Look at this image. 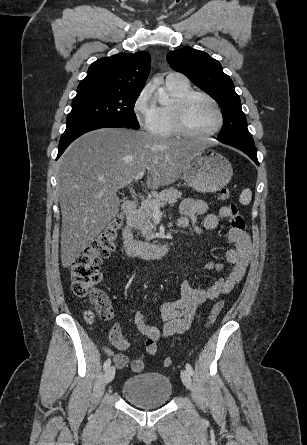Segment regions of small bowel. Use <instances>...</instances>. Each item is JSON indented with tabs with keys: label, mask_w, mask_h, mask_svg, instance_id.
<instances>
[{
	"label": "small bowel",
	"mask_w": 307,
	"mask_h": 445,
	"mask_svg": "<svg viewBox=\"0 0 307 445\" xmlns=\"http://www.w3.org/2000/svg\"><path fill=\"white\" fill-rule=\"evenodd\" d=\"M180 214L178 225L183 228L192 226L195 233L202 236L204 231L214 230L223 219L228 218L230 209L229 206H223L217 213H210L204 202L185 199L180 205ZM198 217H203L202 226L198 224ZM226 242L233 245L226 253V259L231 264L230 271L226 276L220 277L214 283L204 287H196L190 281L184 280L180 286L181 297L176 301L164 302L160 306V317L165 322L162 334L158 328L147 324L141 313L135 314V327L145 337V351L150 356L157 353L158 341L162 335L167 337L187 331L202 304L229 293L244 277L252 256L250 237L244 231L231 228L226 234ZM205 268L222 271L223 265L208 262L205 264ZM128 346L129 343L125 340L122 346L115 347L123 351ZM105 352L113 358L118 368L130 365L134 372H141L145 367L143 354L130 359L123 353L114 354L107 348H105Z\"/></svg>",
	"instance_id": "1"
}]
</instances>
